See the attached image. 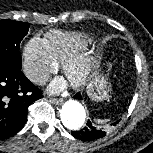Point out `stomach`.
I'll return each mask as SVG.
<instances>
[{"mask_svg": "<svg viewBox=\"0 0 153 153\" xmlns=\"http://www.w3.org/2000/svg\"><path fill=\"white\" fill-rule=\"evenodd\" d=\"M87 94L94 101H102L108 96V83L102 76H94L87 84Z\"/></svg>", "mask_w": 153, "mask_h": 153, "instance_id": "0dacf381", "label": "stomach"}]
</instances>
